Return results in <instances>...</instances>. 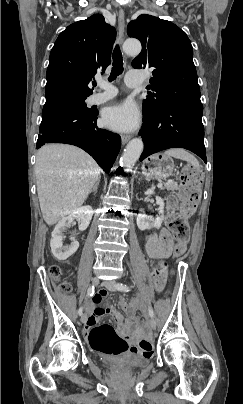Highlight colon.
<instances>
[{"mask_svg":"<svg viewBox=\"0 0 243 404\" xmlns=\"http://www.w3.org/2000/svg\"><path fill=\"white\" fill-rule=\"evenodd\" d=\"M201 177L197 168L191 164L186 165L181 174V188L179 195L171 196L167 203L166 222L173 236L171 252L175 255H181L186 248L189 240V226L186 216L192 213L200 198ZM49 275L52 278L59 279L62 275L61 269L57 265L49 268ZM152 280L154 288L160 291L164 288L167 280L166 264L160 261L155 264L152 272ZM63 291L69 290L68 283L61 284ZM120 307L132 314L134 307L125 299L119 300ZM88 340L91 348L105 355H118L125 352L128 348L126 341L116 332L110 324H101L93 327L89 334ZM138 348L144 355H151L153 343L149 339H142Z\"/></svg>","mask_w":243,"mask_h":404,"instance_id":"1","label":"colon"}]
</instances>
